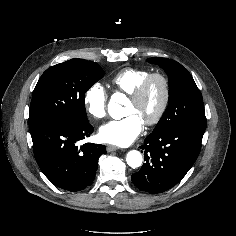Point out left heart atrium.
Returning <instances> with one entry per match:
<instances>
[{"label": "left heart atrium", "mask_w": 236, "mask_h": 236, "mask_svg": "<svg viewBox=\"0 0 236 236\" xmlns=\"http://www.w3.org/2000/svg\"><path fill=\"white\" fill-rule=\"evenodd\" d=\"M143 120L137 114H130L119 120H112L99 129V138L117 146L130 145L141 133Z\"/></svg>", "instance_id": "left-heart-atrium-1"}]
</instances>
